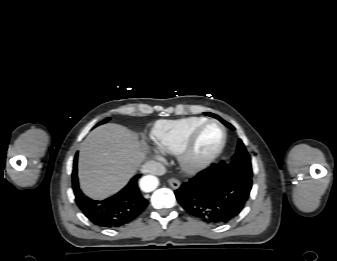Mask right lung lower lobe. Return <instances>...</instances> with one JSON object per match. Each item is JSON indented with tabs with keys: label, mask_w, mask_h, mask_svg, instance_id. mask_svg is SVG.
<instances>
[{
	"label": "right lung lower lobe",
	"mask_w": 337,
	"mask_h": 261,
	"mask_svg": "<svg viewBox=\"0 0 337 261\" xmlns=\"http://www.w3.org/2000/svg\"><path fill=\"white\" fill-rule=\"evenodd\" d=\"M140 174L134 176L119 193L102 201L91 200L79 189L77 177V156L73 163L72 187L75 201L84 215L94 224L117 228L130 223L146 208L148 201L138 187Z\"/></svg>",
	"instance_id": "98d812e1"
}]
</instances>
